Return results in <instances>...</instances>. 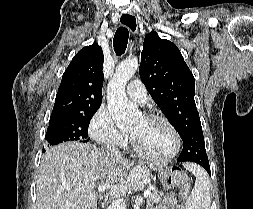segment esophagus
<instances>
[{"label":"esophagus","instance_id":"obj_1","mask_svg":"<svg viewBox=\"0 0 253 209\" xmlns=\"http://www.w3.org/2000/svg\"><path fill=\"white\" fill-rule=\"evenodd\" d=\"M120 23L128 27L132 32L137 30V18L133 12H125L120 15Z\"/></svg>","mask_w":253,"mask_h":209}]
</instances>
